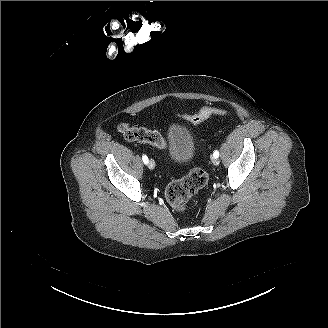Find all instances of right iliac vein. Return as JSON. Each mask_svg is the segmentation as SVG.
<instances>
[{
	"instance_id": "obj_1",
	"label": "right iliac vein",
	"mask_w": 328,
	"mask_h": 328,
	"mask_svg": "<svg viewBox=\"0 0 328 328\" xmlns=\"http://www.w3.org/2000/svg\"><path fill=\"white\" fill-rule=\"evenodd\" d=\"M148 168L151 169V170H153L155 168V162H154L153 159H150L148 161Z\"/></svg>"
}]
</instances>
